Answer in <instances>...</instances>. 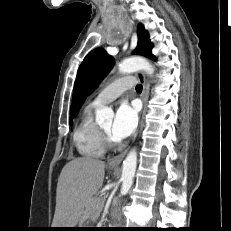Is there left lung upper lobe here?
Wrapping results in <instances>:
<instances>
[{
  "label": "left lung upper lobe",
  "instance_id": "left-lung-upper-lobe-1",
  "mask_svg": "<svg viewBox=\"0 0 231 231\" xmlns=\"http://www.w3.org/2000/svg\"><path fill=\"white\" fill-rule=\"evenodd\" d=\"M153 45L143 25L138 26V45L134 54H141L151 58ZM114 65V59L105 49L96 48L84 58L78 69L72 99V116L75 117L87 96L96 88Z\"/></svg>",
  "mask_w": 231,
  "mask_h": 231
}]
</instances>
